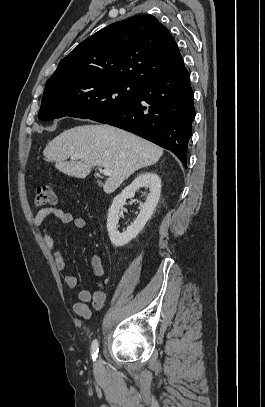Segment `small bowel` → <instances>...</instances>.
Segmentation results:
<instances>
[{
	"label": "small bowel",
	"instance_id": "obj_1",
	"mask_svg": "<svg viewBox=\"0 0 265 407\" xmlns=\"http://www.w3.org/2000/svg\"><path fill=\"white\" fill-rule=\"evenodd\" d=\"M54 215L61 223L70 224L73 223L74 227L78 230L84 229L86 221L82 217H74L70 212L64 211L58 208L45 207L40 209L34 218V223L37 227L43 225L44 221L50 216ZM42 236L47 249L52 253L54 263L59 271H63L66 267V262L63 254L57 248L54 238L51 236L49 230L46 227L42 228ZM92 266L96 276L103 277L105 272L99 257L92 259ZM65 284L68 288L73 289L77 286V276L74 272H68L64 276ZM77 301L73 304V312L84 319H89L92 315L89 308V303L92 304L95 310L103 308L106 294L104 291L103 283H99L98 290L91 293L88 289H80L77 293Z\"/></svg>",
	"mask_w": 265,
	"mask_h": 407
}]
</instances>
